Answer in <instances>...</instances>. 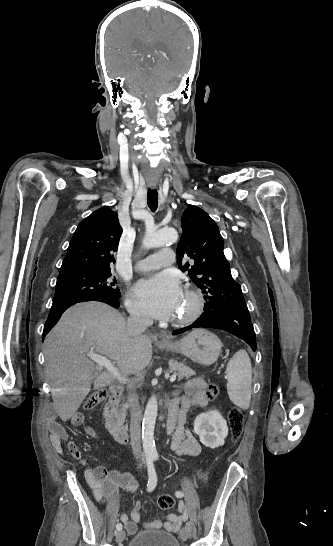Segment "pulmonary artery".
Instances as JSON below:
<instances>
[{
  "mask_svg": "<svg viewBox=\"0 0 333 546\" xmlns=\"http://www.w3.org/2000/svg\"><path fill=\"white\" fill-rule=\"evenodd\" d=\"M174 260V252L170 249H163L139 260L135 269L140 272H149L170 265Z\"/></svg>",
  "mask_w": 333,
  "mask_h": 546,
  "instance_id": "pulmonary-artery-1",
  "label": "pulmonary artery"
}]
</instances>
